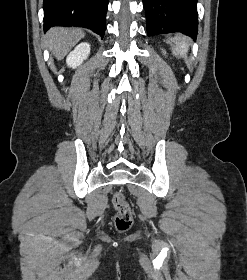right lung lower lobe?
Listing matches in <instances>:
<instances>
[{"mask_svg": "<svg viewBox=\"0 0 247 280\" xmlns=\"http://www.w3.org/2000/svg\"><path fill=\"white\" fill-rule=\"evenodd\" d=\"M108 0H44V31L53 26H82L104 37Z\"/></svg>", "mask_w": 247, "mask_h": 280, "instance_id": "1", "label": "right lung lower lobe"}]
</instances>
